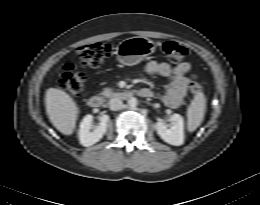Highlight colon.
<instances>
[{
	"label": "colon",
	"mask_w": 260,
	"mask_h": 205,
	"mask_svg": "<svg viewBox=\"0 0 260 205\" xmlns=\"http://www.w3.org/2000/svg\"><path fill=\"white\" fill-rule=\"evenodd\" d=\"M163 51L173 63L183 61L187 56V49L174 41H167L163 45ZM76 56L83 65L96 68L110 56V46L105 42H95L83 45L76 50ZM85 83L84 74L77 70L73 64H66L63 68L59 84L60 87L73 96H78ZM189 90L192 94H201L204 87L201 83L191 81Z\"/></svg>",
	"instance_id": "colon-1"
}]
</instances>
